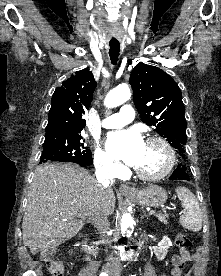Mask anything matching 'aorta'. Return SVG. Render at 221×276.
Listing matches in <instances>:
<instances>
[{
    "instance_id": "aorta-1",
    "label": "aorta",
    "mask_w": 221,
    "mask_h": 276,
    "mask_svg": "<svg viewBox=\"0 0 221 276\" xmlns=\"http://www.w3.org/2000/svg\"><path fill=\"white\" fill-rule=\"evenodd\" d=\"M131 97V92L128 86H119L111 90L105 100L104 104L108 108H114L122 105ZM134 221L130 214H123L121 218V230L127 231L133 227Z\"/></svg>"
}]
</instances>
